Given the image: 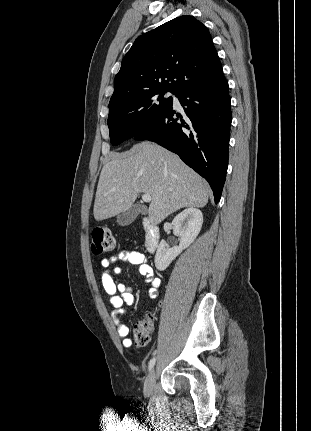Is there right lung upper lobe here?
Returning a JSON list of instances; mask_svg holds the SVG:
<instances>
[{"instance_id": "1", "label": "right lung upper lobe", "mask_w": 311, "mask_h": 431, "mask_svg": "<svg viewBox=\"0 0 311 431\" xmlns=\"http://www.w3.org/2000/svg\"><path fill=\"white\" fill-rule=\"evenodd\" d=\"M208 29L181 16L139 36L122 60L111 99L137 92H178L221 71Z\"/></svg>"}]
</instances>
